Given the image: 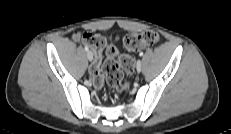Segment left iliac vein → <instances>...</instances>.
Here are the masks:
<instances>
[{"instance_id":"4c4485c4","label":"left iliac vein","mask_w":231,"mask_h":134,"mask_svg":"<svg viewBox=\"0 0 231 134\" xmlns=\"http://www.w3.org/2000/svg\"><path fill=\"white\" fill-rule=\"evenodd\" d=\"M136 69H137V72H141V70H142V65H141L140 60L137 62Z\"/></svg>"}]
</instances>
